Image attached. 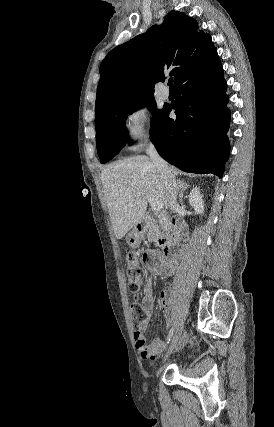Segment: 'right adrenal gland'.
<instances>
[{"label":"right adrenal gland","mask_w":274,"mask_h":427,"mask_svg":"<svg viewBox=\"0 0 274 427\" xmlns=\"http://www.w3.org/2000/svg\"><path fill=\"white\" fill-rule=\"evenodd\" d=\"M180 186H181V190L179 192V200L180 202H183V192H185V190H188V188H190V186H188V184H186V182H179Z\"/></svg>","instance_id":"2a0ac1e0"}]
</instances>
